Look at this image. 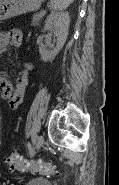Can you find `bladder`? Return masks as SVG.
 <instances>
[{"instance_id": "bladder-1", "label": "bladder", "mask_w": 119, "mask_h": 185, "mask_svg": "<svg viewBox=\"0 0 119 185\" xmlns=\"http://www.w3.org/2000/svg\"><path fill=\"white\" fill-rule=\"evenodd\" d=\"M27 185H53L52 182L48 179L35 178L31 179Z\"/></svg>"}]
</instances>
